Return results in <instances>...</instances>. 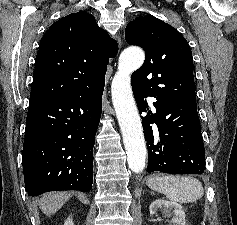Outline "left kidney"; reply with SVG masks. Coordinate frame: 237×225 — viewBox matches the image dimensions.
<instances>
[{"label": "left kidney", "instance_id": "1", "mask_svg": "<svg viewBox=\"0 0 237 225\" xmlns=\"http://www.w3.org/2000/svg\"><path fill=\"white\" fill-rule=\"evenodd\" d=\"M158 209L165 212L167 216H172L171 223L173 225H186L185 212L180 204L176 202H169L163 199H158L150 204L149 206L150 214L151 215L156 214ZM171 210H173L172 213Z\"/></svg>", "mask_w": 237, "mask_h": 225}]
</instances>
